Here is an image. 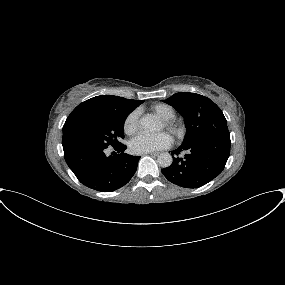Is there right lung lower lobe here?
<instances>
[{
	"label": "right lung lower lobe",
	"mask_w": 285,
	"mask_h": 285,
	"mask_svg": "<svg viewBox=\"0 0 285 285\" xmlns=\"http://www.w3.org/2000/svg\"><path fill=\"white\" fill-rule=\"evenodd\" d=\"M115 156H107L99 146H69L64 149L67 165L85 186L111 192L127 184L137 169L139 156L123 153L126 146L113 147Z\"/></svg>",
	"instance_id": "1"
}]
</instances>
